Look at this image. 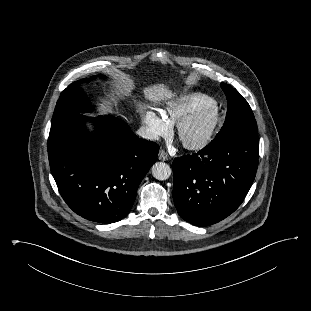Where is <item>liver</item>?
<instances>
[{"label":"liver","instance_id":"obj_1","mask_svg":"<svg viewBox=\"0 0 311 311\" xmlns=\"http://www.w3.org/2000/svg\"><path fill=\"white\" fill-rule=\"evenodd\" d=\"M147 100H150L154 104H158L161 101L169 100L175 97V93L165 84H154L142 89Z\"/></svg>","mask_w":311,"mask_h":311}]
</instances>
